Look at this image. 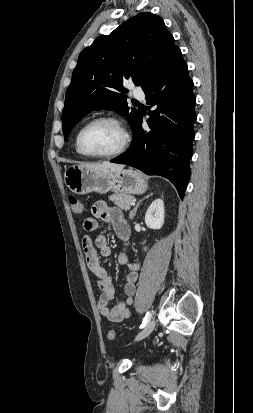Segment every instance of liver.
<instances>
[{
	"label": "liver",
	"instance_id": "obj_1",
	"mask_svg": "<svg viewBox=\"0 0 253 413\" xmlns=\"http://www.w3.org/2000/svg\"><path fill=\"white\" fill-rule=\"evenodd\" d=\"M79 166L94 171H119L124 168L123 164H116L111 162L93 163V164H80Z\"/></svg>",
	"mask_w": 253,
	"mask_h": 413
}]
</instances>
